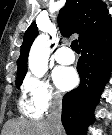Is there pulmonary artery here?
Here are the masks:
<instances>
[{
	"label": "pulmonary artery",
	"mask_w": 112,
	"mask_h": 135,
	"mask_svg": "<svg viewBox=\"0 0 112 135\" xmlns=\"http://www.w3.org/2000/svg\"><path fill=\"white\" fill-rule=\"evenodd\" d=\"M55 59L59 64L68 65L75 61V56L68 47H60L55 53Z\"/></svg>",
	"instance_id": "1"
}]
</instances>
